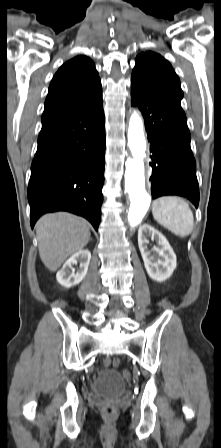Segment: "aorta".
Returning <instances> with one entry per match:
<instances>
[{"label":"aorta","instance_id":"1","mask_svg":"<svg viewBox=\"0 0 221 448\" xmlns=\"http://www.w3.org/2000/svg\"><path fill=\"white\" fill-rule=\"evenodd\" d=\"M128 145L132 159L127 160L125 164V191L129 194L131 201L128 221L131 226H136L142 221L151 202V197L145 189L143 158L147 145L143 121L138 111H134L130 117Z\"/></svg>","mask_w":221,"mask_h":448}]
</instances>
